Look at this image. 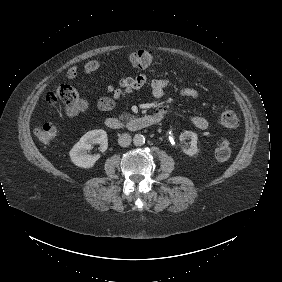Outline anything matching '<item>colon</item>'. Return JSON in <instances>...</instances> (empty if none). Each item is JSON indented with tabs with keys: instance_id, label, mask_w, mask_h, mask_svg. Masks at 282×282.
Returning a JSON list of instances; mask_svg holds the SVG:
<instances>
[{
	"instance_id": "5ec220e1",
	"label": "colon",
	"mask_w": 282,
	"mask_h": 282,
	"mask_svg": "<svg viewBox=\"0 0 282 282\" xmlns=\"http://www.w3.org/2000/svg\"><path fill=\"white\" fill-rule=\"evenodd\" d=\"M156 55L150 50H138L130 57L131 65L136 69H145L155 63ZM79 97L78 90L69 85H59L54 90L47 93L46 99L48 103L71 104ZM218 125L221 128H236L238 126V116L235 111L230 109L222 110L217 119ZM58 135L57 129L53 123H45L36 131L37 139L44 143L50 144ZM232 152L231 143L225 137H220L215 146L214 156L219 162L226 161L230 158Z\"/></svg>"
}]
</instances>
